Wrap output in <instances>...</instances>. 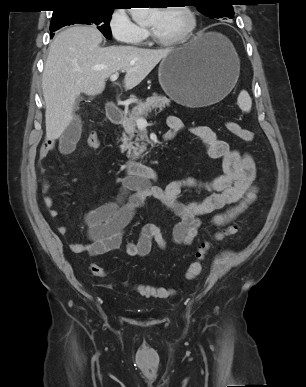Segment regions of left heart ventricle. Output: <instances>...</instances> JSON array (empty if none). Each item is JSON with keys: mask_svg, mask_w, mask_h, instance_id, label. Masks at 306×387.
<instances>
[{"mask_svg": "<svg viewBox=\"0 0 306 387\" xmlns=\"http://www.w3.org/2000/svg\"><path fill=\"white\" fill-rule=\"evenodd\" d=\"M189 19L184 11L171 7L155 9L150 14L147 26L163 40L179 37L187 28Z\"/></svg>", "mask_w": 306, "mask_h": 387, "instance_id": "b2bd125f", "label": "left heart ventricle"}]
</instances>
